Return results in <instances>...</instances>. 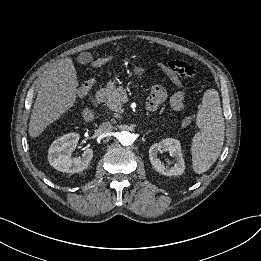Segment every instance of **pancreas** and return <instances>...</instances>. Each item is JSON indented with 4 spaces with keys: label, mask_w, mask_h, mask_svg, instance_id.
<instances>
[{
    "label": "pancreas",
    "mask_w": 261,
    "mask_h": 261,
    "mask_svg": "<svg viewBox=\"0 0 261 261\" xmlns=\"http://www.w3.org/2000/svg\"><path fill=\"white\" fill-rule=\"evenodd\" d=\"M126 94V89L123 87L115 88L114 86H110L106 90V106L115 112H122V102L121 98Z\"/></svg>",
    "instance_id": "cf45deb5"
}]
</instances>
